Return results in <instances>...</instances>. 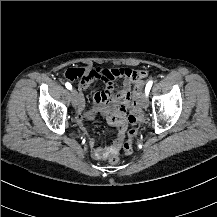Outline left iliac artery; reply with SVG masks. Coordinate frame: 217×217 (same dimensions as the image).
<instances>
[{
  "label": "left iliac artery",
  "mask_w": 217,
  "mask_h": 217,
  "mask_svg": "<svg viewBox=\"0 0 217 217\" xmlns=\"http://www.w3.org/2000/svg\"><path fill=\"white\" fill-rule=\"evenodd\" d=\"M152 84H153V81L150 80L148 81V83L146 84V87H145V93H146V96H148L149 92H150V89L152 87Z\"/></svg>",
  "instance_id": "obj_1"
}]
</instances>
